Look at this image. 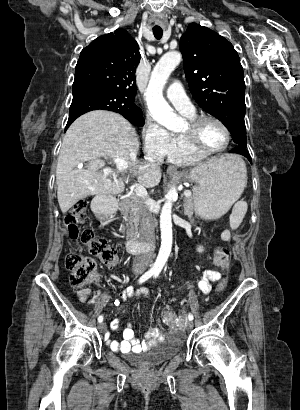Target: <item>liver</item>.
Listing matches in <instances>:
<instances>
[{
  "label": "liver",
  "mask_w": 300,
  "mask_h": 410,
  "mask_svg": "<svg viewBox=\"0 0 300 410\" xmlns=\"http://www.w3.org/2000/svg\"><path fill=\"white\" fill-rule=\"evenodd\" d=\"M139 139L132 125L121 115L109 111H92L76 119L67 130L57 160V198L62 213L90 195L121 193L122 180H111L97 170L105 165L102 157L121 159L140 185L153 188L160 183L161 170L151 163L137 161ZM225 154L209 159L200 166L231 161ZM89 161L87 169H75ZM126 168V169H127Z\"/></svg>",
  "instance_id": "6515ba94"
}]
</instances>
